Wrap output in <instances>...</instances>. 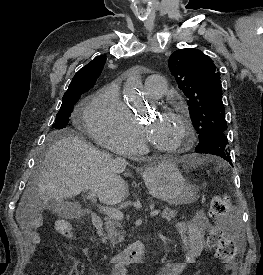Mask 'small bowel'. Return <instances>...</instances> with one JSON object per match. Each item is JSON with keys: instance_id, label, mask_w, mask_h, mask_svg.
Returning a JSON list of instances; mask_svg holds the SVG:
<instances>
[{"instance_id": "small-bowel-1", "label": "small bowel", "mask_w": 263, "mask_h": 275, "mask_svg": "<svg viewBox=\"0 0 263 275\" xmlns=\"http://www.w3.org/2000/svg\"><path fill=\"white\" fill-rule=\"evenodd\" d=\"M176 228L182 242L185 260L181 263L165 264L154 275H180L186 263L194 262L202 252L211 248L207 235H210L215 227L203 211H198L188 222L178 223ZM26 233L31 238L32 246L29 252L32 254L39 237L31 228H27ZM124 273L125 271L114 269L112 275H124Z\"/></svg>"}]
</instances>
